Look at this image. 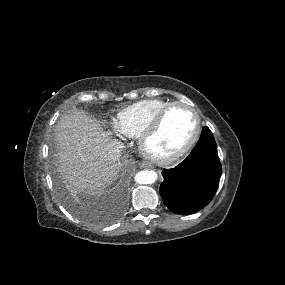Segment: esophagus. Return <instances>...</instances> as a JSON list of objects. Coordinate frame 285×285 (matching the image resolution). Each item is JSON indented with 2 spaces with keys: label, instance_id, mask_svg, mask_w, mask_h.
<instances>
[{
  "label": "esophagus",
  "instance_id": "1",
  "mask_svg": "<svg viewBox=\"0 0 285 285\" xmlns=\"http://www.w3.org/2000/svg\"><path fill=\"white\" fill-rule=\"evenodd\" d=\"M141 167L148 169V168H151V164H149L148 162H143L141 164Z\"/></svg>",
  "mask_w": 285,
  "mask_h": 285
}]
</instances>
